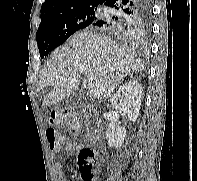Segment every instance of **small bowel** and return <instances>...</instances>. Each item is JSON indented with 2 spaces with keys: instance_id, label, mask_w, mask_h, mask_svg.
Here are the masks:
<instances>
[{
  "instance_id": "c3829d8e",
  "label": "small bowel",
  "mask_w": 197,
  "mask_h": 181,
  "mask_svg": "<svg viewBox=\"0 0 197 181\" xmlns=\"http://www.w3.org/2000/svg\"><path fill=\"white\" fill-rule=\"evenodd\" d=\"M81 148V145L79 143L73 142V143H66L64 145V151L67 154H70L72 152L78 151ZM61 149V148H60ZM57 150L55 152H59L60 151ZM54 169L56 172V175L61 179V181H69L65 176H64V172H63V166H62V162L61 160H57L54 164Z\"/></svg>"
}]
</instances>
